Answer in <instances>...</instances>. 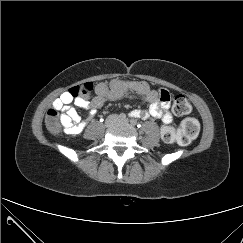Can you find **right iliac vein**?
I'll use <instances>...</instances> for the list:
<instances>
[{
    "instance_id": "63e3f726",
    "label": "right iliac vein",
    "mask_w": 243,
    "mask_h": 243,
    "mask_svg": "<svg viewBox=\"0 0 243 243\" xmlns=\"http://www.w3.org/2000/svg\"><path fill=\"white\" fill-rule=\"evenodd\" d=\"M116 121H117V117L112 115V116H110L109 118L106 119L105 126L109 127V126L113 125Z\"/></svg>"
}]
</instances>
